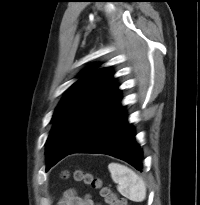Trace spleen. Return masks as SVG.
I'll return each instance as SVG.
<instances>
[{
	"instance_id": "1",
	"label": "spleen",
	"mask_w": 200,
	"mask_h": 205,
	"mask_svg": "<svg viewBox=\"0 0 200 205\" xmlns=\"http://www.w3.org/2000/svg\"><path fill=\"white\" fill-rule=\"evenodd\" d=\"M108 169L120 194L135 202L146 198V184L132 169L114 162L108 165Z\"/></svg>"
}]
</instances>
